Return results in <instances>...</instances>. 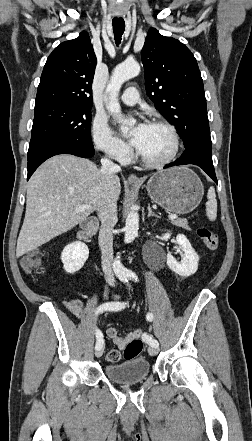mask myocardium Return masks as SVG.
<instances>
[{"mask_svg": "<svg viewBox=\"0 0 252 441\" xmlns=\"http://www.w3.org/2000/svg\"><path fill=\"white\" fill-rule=\"evenodd\" d=\"M148 125L160 126L165 128L169 132L173 142L172 151L166 158L158 161H153L145 158L139 151H137V157L139 161L147 168H162L170 164L176 158L180 149V138L176 128L168 121L162 119H153L149 122Z\"/></svg>", "mask_w": 252, "mask_h": 441, "instance_id": "obj_1", "label": "myocardium"}]
</instances>
